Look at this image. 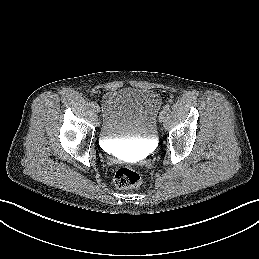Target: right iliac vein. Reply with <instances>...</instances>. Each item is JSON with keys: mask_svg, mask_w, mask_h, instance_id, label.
I'll return each instance as SVG.
<instances>
[{"mask_svg": "<svg viewBox=\"0 0 259 259\" xmlns=\"http://www.w3.org/2000/svg\"><path fill=\"white\" fill-rule=\"evenodd\" d=\"M93 111H94L95 113H99V111H100L99 106H98V105H94V106H93Z\"/></svg>", "mask_w": 259, "mask_h": 259, "instance_id": "right-iliac-vein-1", "label": "right iliac vein"}]
</instances>
